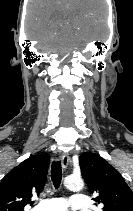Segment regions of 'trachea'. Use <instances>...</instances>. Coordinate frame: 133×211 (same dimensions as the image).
<instances>
[{
  "label": "trachea",
  "instance_id": "3493384b",
  "mask_svg": "<svg viewBox=\"0 0 133 211\" xmlns=\"http://www.w3.org/2000/svg\"><path fill=\"white\" fill-rule=\"evenodd\" d=\"M51 179L55 188H58L62 180V168L60 161H53L51 165Z\"/></svg>",
  "mask_w": 133,
  "mask_h": 211
}]
</instances>
